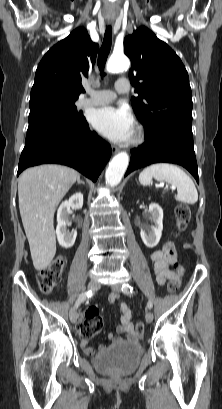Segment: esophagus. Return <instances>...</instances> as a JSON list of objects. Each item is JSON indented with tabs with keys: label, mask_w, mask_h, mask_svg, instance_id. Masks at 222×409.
Masks as SVG:
<instances>
[{
	"label": "esophagus",
	"mask_w": 222,
	"mask_h": 409,
	"mask_svg": "<svg viewBox=\"0 0 222 409\" xmlns=\"http://www.w3.org/2000/svg\"><path fill=\"white\" fill-rule=\"evenodd\" d=\"M112 152H113V153H117V152H118V148L115 147V146H113V147H112Z\"/></svg>",
	"instance_id": "34e87169"
}]
</instances>
